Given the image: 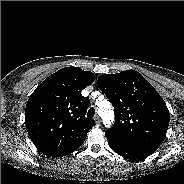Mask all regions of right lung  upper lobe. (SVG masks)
<instances>
[{"label": "right lung upper lobe", "mask_w": 184, "mask_h": 184, "mask_svg": "<svg viewBox=\"0 0 184 184\" xmlns=\"http://www.w3.org/2000/svg\"><path fill=\"white\" fill-rule=\"evenodd\" d=\"M94 80L90 71L65 67L47 77L31 94L25 124L43 154L64 156L82 145L95 121L85 117L90 100L81 91Z\"/></svg>", "instance_id": "obj_1"}]
</instances>
